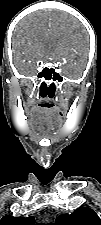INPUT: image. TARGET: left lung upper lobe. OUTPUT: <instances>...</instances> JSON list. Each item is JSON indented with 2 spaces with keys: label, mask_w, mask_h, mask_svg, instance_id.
I'll list each match as a JSON object with an SVG mask.
<instances>
[{
  "label": "left lung upper lobe",
  "mask_w": 101,
  "mask_h": 225,
  "mask_svg": "<svg viewBox=\"0 0 101 225\" xmlns=\"http://www.w3.org/2000/svg\"><path fill=\"white\" fill-rule=\"evenodd\" d=\"M53 225H101V220L91 208L80 207L70 215H60Z\"/></svg>",
  "instance_id": "obj_1"
}]
</instances>
